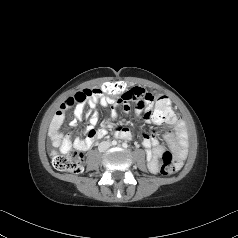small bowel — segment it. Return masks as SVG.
Here are the masks:
<instances>
[{"label": "small bowel", "mask_w": 238, "mask_h": 238, "mask_svg": "<svg viewBox=\"0 0 238 238\" xmlns=\"http://www.w3.org/2000/svg\"><path fill=\"white\" fill-rule=\"evenodd\" d=\"M69 99V98H68ZM66 99L60 106L59 110L55 113L50 127H49V134L52 140V144L54 147L60 149L62 153H68L71 148H75L79 151H87L91 148L95 140L103 138L107 131L105 128L96 129L95 125L98 123L99 120V112L97 111V107L101 106H112L111 115L113 118L117 117V110L116 105L118 103H106L105 96L93 95L88 104L93 112L89 116L88 124L86 129L84 130V139L75 138L71 139L68 136H63L60 133V128L64 122L65 118V111L70 108L72 105L74 106V119L71 122L72 126H76L77 122L80 121L84 114L85 109V102H75L72 105H67ZM155 97L147 92L145 89L134 86L126 90L123 94L121 100L119 101L120 104L123 106V110L125 112H129L130 102H136L138 105V110L140 113L144 115L146 119H152L156 123L160 124L159 122L151 117L148 116V111L150 106L154 103ZM167 123L172 127V129L165 133L164 137L166 141L169 143L170 147L172 148L173 152L175 153L176 157L179 160H182L186 155V148H187V132L186 127L183 121L180 119L179 116L176 114L173 118ZM115 135L119 138L130 140L132 138V132L127 127H118L115 130ZM142 144L146 148L147 154V161H148V168L152 172H157L158 170V159L164 153L165 147L157 140V138L153 135L144 134L142 136Z\"/></svg>", "instance_id": "c3829d8e"}]
</instances>
